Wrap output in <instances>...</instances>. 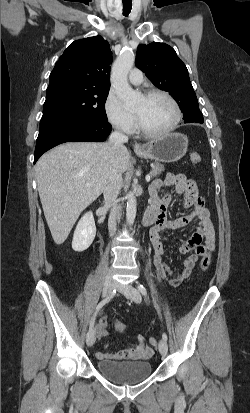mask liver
I'll use <instances>...</instances> for the list:
<instances>
[{"instance_id":"1","label":"liver","mask_w":250,"mask_h":413,"mask_svg":"<svg viewBox=\"0 0 250 413\" xmlns=\"http://www.w3.org/2000/svg\"><path fill=\"white\" fill-rule=\"evenodd\" d=\"M129 163L127 148L113 154L109 142H67L41 156L35 167L38 192L56 244L64 243L81 212L104 191L110 171L122 175Z\"/></svg>"}]
</instances>
